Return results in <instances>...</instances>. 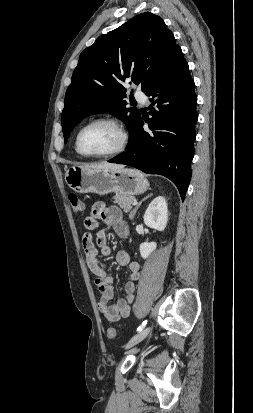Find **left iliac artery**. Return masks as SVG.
Segmentation results:
<instances>
[{
  "mask_svg": "<svg viewBox=\"0 0 253 413\" xmlns=\"http://www.w3.org/2000/svg\"><path fill=\"white\" fill-rule=\"evenodd\" d=\"M147 321H143V323L137 328V332H140L143 330V328L146 326Z\"/></svg>",
  "mask_w": 253,
  "mask_h": 413,
  "instance_id": "obj_1",
  "label": "left iliac artery"
}]
</instances>
